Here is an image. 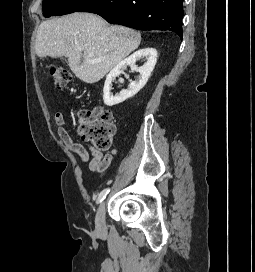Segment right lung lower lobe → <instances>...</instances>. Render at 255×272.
Here are the masks:
<instances>
[{
  "label": "right lung lower lobe",
  "mask_w": 255,
  "mask_h": 272,
  "mask_svg": "<svg viewBox=\"0 0 255 272\" xmlns=\"http://www.w3.org/2000/svg\"><path fill=\"white\" fill-rule=\"evenodd\" d=\"M77 12L95 13L109 23L138 30H170L183 36V0H91Z\"/></svg>",
  "instance_id": "right-lung-lower-lobe-1"
}]
</instances>
